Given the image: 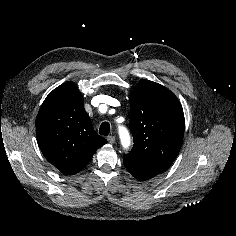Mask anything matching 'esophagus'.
I'll use <instances>...</instances> for the list:
<instances>
[{
	"mask_svg": "<svg viewBox=\"0 0 236 236\" xmlns=\"http://www.w3.org/2000/svg\"><path fill=\"white\" fill-rule=\"evenodd\" d=\"M107 140H108V142H109L110 144H114L115 141H116V138H115L114 136H108V137H107Z\"/></svg>",
	"mask_w": 236,
	"mask_h": 236,
	"instance_id": "obj_1",
	"label": "esophagus"
}]
</instances>
